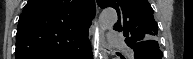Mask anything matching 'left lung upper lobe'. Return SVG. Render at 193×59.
<instances>
[{
  "instance_id": "left-lung-upper-lobe-1",
  "label": "left lung upper lobe",
  "mask_w": 193,
  "mask_h": 59,
  "mask_svg": "<svg viewBox=\"0 0 193 59\" xmlns=\"http://www.w3.org/2000/svg\"><path fill=\"white\" fill-rule=\"evenodd\" d=\"M97 4L101 8L112 7L117 11L118 21L114 29L123 31L130 48L140 42L158 44V25L147 0H97Z\"/></svg>"
}]
</instances>
